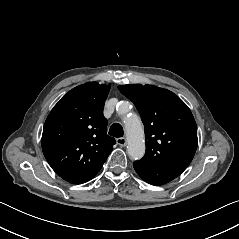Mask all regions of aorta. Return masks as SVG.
<instances>
[{"mask_svg":"<svg viewBox=\"0 0 239 239\" xmlns=\"http://www.w3.org/2000/svg\"><path fill=\"white\" fill-rule=\"evenodd\" d=\"M129 102L121 101L117 113L122 115L129 112ZM126 137L128 139L127 154L134 160L141 159L145 154L144 129L142 123L134 118L125 123Z\"/></svg>","mask_w":239,"mask_h":239,"instance_id":"aorta-1","label":"aorta"}]
</instances>
